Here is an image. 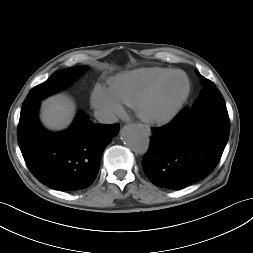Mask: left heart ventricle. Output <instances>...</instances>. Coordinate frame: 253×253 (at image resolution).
Returning <instances> with one entry per match:
<instances>
[{
  "label": "left heart ventricle",
  "mask_w": 253,
  "mask_h": 253,
  "mask_svg": "<svg viewBox=\"0 0 253 253\" xmlns=\"http://www.w3.org/2000/svg\"><path fill=\"white\" fill-rule=\"evenodd\" d=\"M186 81L182 76L173 78L156 97L152 109L156 113L167 111L176 100L183 94Z\"/></svg>",
  "instance_id": "obj_1"
}]
</instances>
